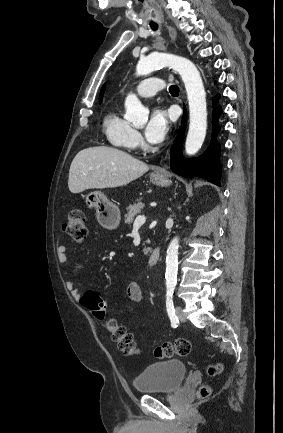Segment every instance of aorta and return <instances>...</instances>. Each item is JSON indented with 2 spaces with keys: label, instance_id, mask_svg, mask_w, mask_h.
<instances>
[{
  "label": "aorta",
  "instance_id": "obj_1",
  "mask_svg": "<svg viewBox=\"0 0 283 433\" xmlns=\"http://www.w3.org/2000/svg\"><path fill=\"white\" fill-rule=\"evenodd\" d=\"M162 67H171L181 76L187 92L189 104V130L185 142V151L194 155L201 148L207 131L206 93L199 71L188 59L167 53L154 52L141 58L136 67V75L143 76ZM126 119L135 125H143L148 120L149 111L135 94L125 99ZM178 238H174L167 249L166 286L173 288L176 284L178 270Z\"/></svg>",
  "mask_w": 283,
  "mask_h": 433
}]
</instances>
